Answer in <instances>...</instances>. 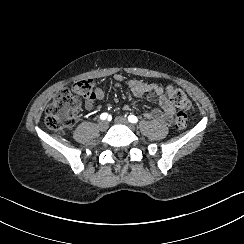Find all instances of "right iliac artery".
Listing matches in <instances>:
<instances>
[{"mask_svg":"<svg viewBox=\"0 0 244 244\" xmlns=\"http://www.w3.org/2000/svg\"><path fill=\"white\" fill-rule=\"evenodd\" d=\"M108 118V120H111V115H108L107 113H102L101 115H100V119H102V120H105V119H107Z\"/></svg>","mask_w":244,"mask_h":244,"instance_id":"obj_1","label":"right iliac artery"}]
</instances>
